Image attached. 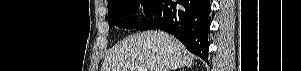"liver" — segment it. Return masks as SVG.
<instances>
[{
	"mask_svg": "<svg viewBox=\"0 0 301 71\" xmlns=\"http://www.w3.org/2000/svg\"><path fill=\"white\" fill-rule=\"evenodd\" d=\"M196 57L173 36L159 30L144 31L121 41L105 58L101 71H169L194 65Z\"/></svg>",
	"mask_w": 301,
	"mask_h": 71,
	"instance_id": "obj_1",
	"label": "liver"
}]
</instances>
